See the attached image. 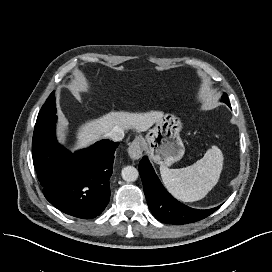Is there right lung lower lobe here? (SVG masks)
<instances>
[{"instance_id":"1","label":"right lung lower lobe","mask_w":272,"mask_h":272,"mask_svg":"<svg viewBox=\"0 0 272 272\" xmlns=\"http://www.w3.org/2000/svg\"><path fill=\"white\" fill-rule=\"evenodd\" d=\"M56 114L38 118L32 140L33 164L46 199L82 219L100 215L110 199L109 178L119 143L101 140L70 153L55 136Z\"/></svg>"}]
</instances>
